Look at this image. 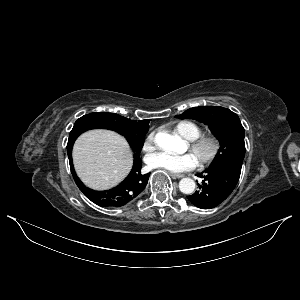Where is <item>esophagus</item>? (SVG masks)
Masks as SVG:
<instances>
[{
  "mask_svg": "<svg viewBox=\"0 0 300 300\" xmlns=\"http://www.w3.org/2000/svg\"><path fill=\"white\" fill-rule=\"evenodd\" d=\"M172 176H173L174 178H183V177H184L183 174H176V173L172 174Z\"/></svg>",
  "mask_w": 300,
  "mask_h": 300,
  "instance_id": "34e87169",
  "label": "esophagus"
}]
</instances>
